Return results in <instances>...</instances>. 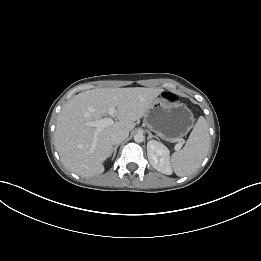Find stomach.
<instances>
[{"label":"stomach","mask_w":261,"mask_h":261,"mask_svg":"<svg viewBox=\"0 0 261 261\" xmlns=\"http://www.w3.org/2000/svg\"><path fill=\"white\" fill-rule=\"evenodd\" d=\"M150 130L165 141L185 136L194 124L193 112L183 103L156 98L144 115Z\"/></svg>","instance_id":"stomach-1"}]
</instances>
